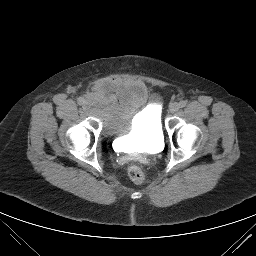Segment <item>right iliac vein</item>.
<instances>
[{
	"label": "right iliac vein",
	"instance_id": "63e3f726",
	"mask_svg": "<svg viewBox=\"0 0 256 256\" xmlns=\"http://www.w3.org/2000/svg\"><path fill=\"white\" fill-rule=\"evenodd\" d=\"M84 106H85L86 108H89V107L91 106V103H90L89 101H86V102L84 103Z\"/></svg>",
	"mask_w": 256,
	"mask_h": 256
}]
</instances>
